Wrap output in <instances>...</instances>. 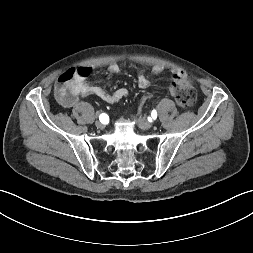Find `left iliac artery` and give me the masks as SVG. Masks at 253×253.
I'll use <instances>...</instances> for the list:
<instances>
[{
    "instance_id": "obj_1",
    "label": "left iliac artery",
    "mask_w": 253,
    "mask_h": 253,
    "mask_svg": "<svg viewBox=\"0 0 253 253\" xmlns=\"http://www.w3.org/2000/svg\"><path fill=\"white\" fill-rule=\"evenodd\" d=\"M151 115H152V118H153V119H156V117H157V111L154 109V110L152 111Z\"/></svg>"
}]
</instances>
